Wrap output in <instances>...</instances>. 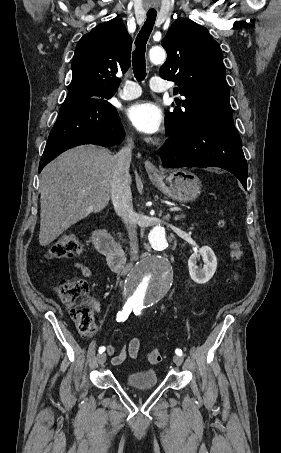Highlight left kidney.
<instances>
[{
  "label": "left kidney",
  "instance_id": "obj_1",
  "mask_svg": "<svg viewBox=\"0 0 281 453\" xmlns=\"http://www.w3.org/2000/svg\"><path fill=\"white\" fill-rule=\"evenodd\" d=\"M202 257L205 265L203 269L197 267V259ZM189 275L193 279L194 283H199V285H204L212 279L216 269H217V259L215 253H213L210 247H201L197 253H193L188 261Z\"/></svg>",
  "mask_w": 281,
  "mask_h": 453
}]
</instances>
